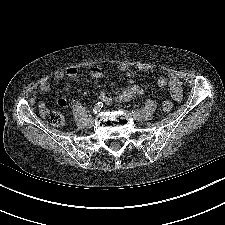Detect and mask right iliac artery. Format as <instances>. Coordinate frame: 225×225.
<instances>
[{
	"label": "right iliac artery",
	"instance_id": "right-iliac-artery-1",
	"mask_svg": "<svg viewBox=\"0 0 225 225\" xmlns=\"http://www.w3.org/2000/svg\"><path fill=\"white\" fill-rule=\"evenodd\" d=\"M102 107H103V103L102 102L96 103L94 105V107H93V110H92L93 114L98 113L102 109Z\"/></svg>",
	"mask_w": 225,
	"mask_h": 225
}]
</instances>
